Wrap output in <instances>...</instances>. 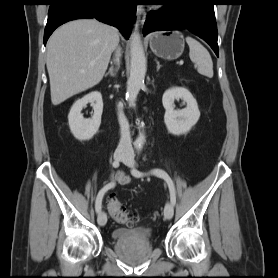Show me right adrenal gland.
<instances>
[{
	"label": "right adrenal gland",
	"mask_w": 278,
	"mask_h": 278,
	"mask_svg": "<svg viewBox=\"0 0 278 278\" xmlns=\"http://www.w3.org/2000/svg\"><path fill=\"white\" fill-rule=\"evenodd\" d=\"M119 68H120V64H119L118 61L116 63V67L115 68H114V66L112 65V62H111V67L109 68V71L105 74V76L111 75L112 77H114L116 75V72L118 71Z\"/></svg>",
	"instance_id": "2a0ac1e0"
}]
</instances>
